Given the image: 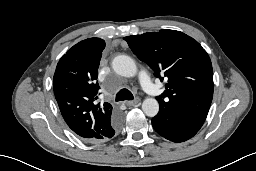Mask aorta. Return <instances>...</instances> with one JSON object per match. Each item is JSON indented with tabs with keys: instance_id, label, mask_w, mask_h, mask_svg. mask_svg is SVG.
Instances as JSON below:
<instances>
[{
	"instance_id": "aorta-1",
	"label": "aorta",
	"mask_w": 256,
	"mask_h": 171,
	"mask_svg": "<svg viewBox=\"0 0 256 171\" xmlns=\"http://www.w3.org/2000/svg\"><path fill=\"white\" fill-rule=\"evenodd\" d=\"M113 70L121 76L133 77L137 73L134 60L127 55H118L112 61ZM142 110L148 117H154L159 111V103L154 98H146L142 103Z\"/></svg>"
}]
</instances>
